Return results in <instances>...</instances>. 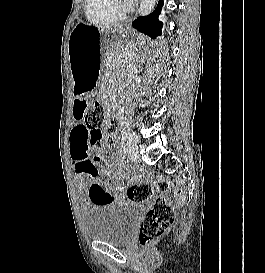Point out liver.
<instances>
[{
    "mask_svg": "<svg viewBox=\"0 0 265 273\" xmlns=\"http://www.w3.org/2000/svg\"><path fill=\"white\" fill-rule=\"evenodd\" d=\"M97 28L103 30V31H112V32H116L118 31L119 29H121L123 27V25H117L115 26L113 29H111L109 26H102V25H99V26H96Z\"/></svg>",
    "mask_w": 265,
    "mask_h": 273,
    "instance_id": "6515ba94",
    "label": "liver"
}]
</instances>
